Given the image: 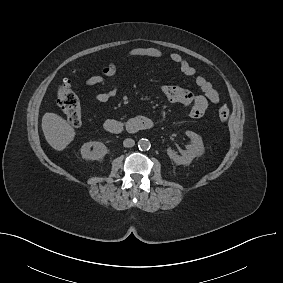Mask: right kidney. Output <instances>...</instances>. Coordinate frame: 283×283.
Returning a JSON list of instances; mask_svg holds the SVG:
<instances>
[{
  "mask_svg": "<svg viewBox=\"0 0 283 283\" xmlns=\"http://www.w3.org/2000/svg\"><path fill=\"white\" fill-rule=\"evenodd\" d=\"M91 147H93V150H91ZM107 153V147L101 142L90 141L81 147L82 158L86 160H100L103 159Z\"/></svg>",
  "mask_w": 283,
  "mask_h": 283,
  "instance_id": "right-kidney-1",
  "label": "right kidney"
}]
</instances>
